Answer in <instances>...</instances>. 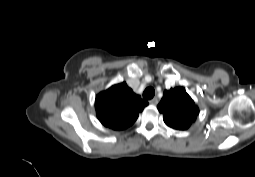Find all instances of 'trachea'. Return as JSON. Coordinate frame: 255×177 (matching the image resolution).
<instances>
[{
  "instance_id": "trachea-1",
  "label": "trachea",
  "mask_w": 255,
  "mask_h": 177,
  "mask_svg": "<svg viewBox=\"0 0 255 177\" xmlns=\"http://www.w3.org/2000/svg\"><path fill=\"white\" fill-rule=\"evenodd\" d=\"M155 95V90L152 87H147L143 92V97L147 100L152 99Z\"/></svg>"
}]
</instances>
